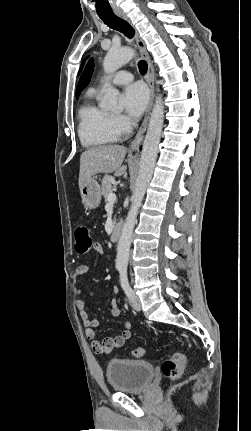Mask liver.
Returning a JSON list of instances; mask_svg holds the SVG:
<instances>
[{"mask_svg":"<svg viewBox=\"0 0 251 431\" xmlns=\"http://www.w3.org/2000/svg\"><path fill=\"white\" fill-rule=\"evenodd\" d=\"M127 148L122 145H103L84 151L80 157L79 188L93 175L114 173L121 176L126 171L122 167Z\"/></svg>","mask_w":251,"mask_h":431,"instance_id":"6515ba94","label":"liver"}]
</instances>
